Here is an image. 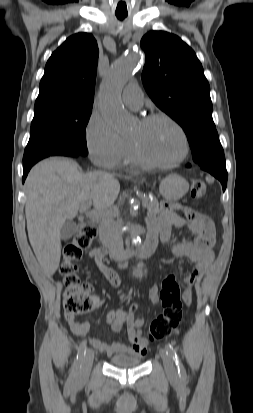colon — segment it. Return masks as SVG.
Segmentation results:
<instances>
[{"mask_svg": "<svg viewBox=\"0 0 253 413\" xmlns=\"http://www.w3.org/2000/svg\"><path fill=\"white\" fill-rule=\"evenodd\" d=\"M191 196L201 198L206 193V187L201 179L191 183ZM97 235L92 225H83L63 248L59 273L63 277V303L65 312L76 316L90 313L97 306V298L91 294V286L84 283L78 276V261ZM163 313L155 318L149 328V339H162L174 331L182 320V298L176 275L166 276L160 291Z\"/></svg>", "mask_w": 253, "mask_h": 413, "instance_id": "obj_1", "label": "colon"}]
</instances>
